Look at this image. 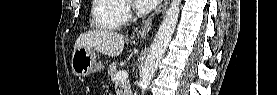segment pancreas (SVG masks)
<instances>
[{"label": "pancreas", "mask_w": 277, "mask_h": 95, "mask_svg": "<svg viewBox=\"0 0 277 95\" xmlns=\"http://www.w3.org/2000/svg\"><path fill=\"white\" fill-rule=\"evenodd\" d=\"M118 72L119 71H118L116 62H113V63L109 64L108 74L110 76V79H111L112 83L114 84L116 94L117 95H130L131 94V88H130L129 81L127 79L122 80V81L117 80L116 79V74Z\"/></svg>", "instance_id": "obj_1"}]
</instances>
